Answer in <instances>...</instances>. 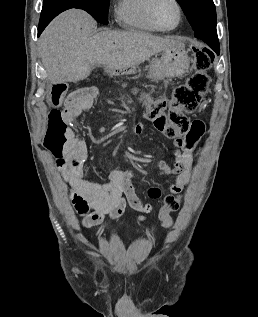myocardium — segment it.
<instances>
[{
	"instance_id": "f54148a6",
	"label": "myocardium",
	"mask_w": 258,
	"mask_h": 317,
	"mask_svg": "<svg viewBox=\"0 0 258 317\" xmlns=\"http://www.w3.org/2000/svg\"><path fill=\"white\" fill-rule=\"evenodd\" d=\"M160 1H162V0H153V2L151 3V5L149 7V10H148L149 19L159 31H171V30L175 29L180 24V22L182 20V6H181V3H180L179 0H173L176 3L177 8H178L177 21H176V23L174 25H172L170 27H163V26H161L158 23V21L155 18V15H154L155 7Z\"/></svg>"
}]
</instances>
